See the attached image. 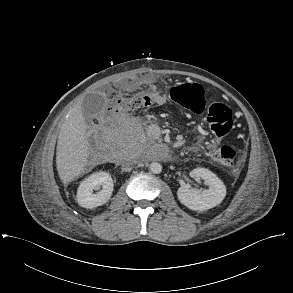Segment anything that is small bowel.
Segmentation results:
<instances>
[{"mask_svg":"<svg viewBox=\"0 0 293 293\" xmlns=\"http://www.w3.org/2000/svg\"><path fill=\"white\" fill-rule=\"evenodd\" d=\"M140 87L146 88L154 96V99H155L154 103L156 105L165 104L166 98L163 94H161L158 91L157 86L155 84V79L152 76H144L141 78L132 79L124 85V88H126L128 90H134V89H137ZM191 149L197 150L198 147L193 146V147H191Z\"/></svg>","mask_w":293,"mask_h":293,"instance_id":"1","label":"small bowel"}]
</instances>
